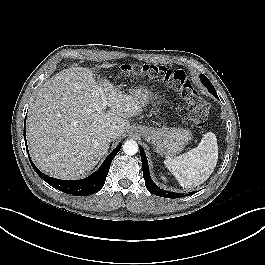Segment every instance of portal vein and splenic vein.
<instances>
[{"label":"portal vein and splenic vein","instance_id":"18ae733b","mask_svg":"<svg viewBox=\"0 0 265 265\" xmlns=\"http://www.w3.org/2000/svg\"><path fill=\"white\" fill-rule=\"evenodd\" d=\"M100 95H101V98H102V102H103V107H106L107 105V98L106 96L104 95L103 91L100 89Z\"/></svg>","mask_w":265,"mask_h":265}]
</instances>
